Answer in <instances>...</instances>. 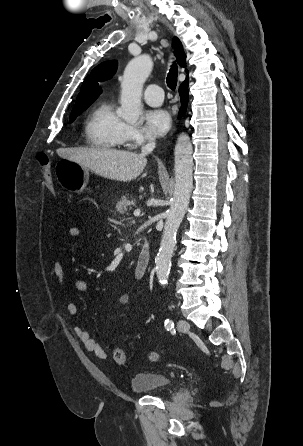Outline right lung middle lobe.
Masks as SVG:
<instances>
[{"mask_svg": "<svg viewBox=\"0 0 303 446\" xmlns=\"http://www.w3.org/2000/svg\"><path fill=\"white\" fill-rule=\"evenodd\" d=\"M91 104L92 103L87 104V105H83V106H80V107H77V108H74L72 110V112H71V115H70V123H72L75 120V118L78 115H80L84 110H86Z\"/></svg>", "mask_w": 303, "mask_h": 446, "instance_id": "obj_1", "label": "right lung middle lobe"}]
</instances>
